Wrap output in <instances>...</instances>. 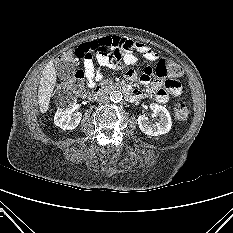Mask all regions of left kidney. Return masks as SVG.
<instances>
[{
    "label": "left kidney",
    "mask_w": 233,
    "mask_h": 233,
    "mask_svg": "<svg viewBox=\"0 0 233 233\" xmlns=\"http://www.w3.org/2000/svg\"><path fill=\"white\" fill-rule=\"evenodd\" d=\"M150 109L153 114L159 116V122L150 123L149 118L145 115H141L138 117V125L140 130L150 136H158L166 134L170 131L172 126V121L168 110L158 104H151Z\"/></svg>",
    "instance_id": "5707ae66"
}]
</instances>
